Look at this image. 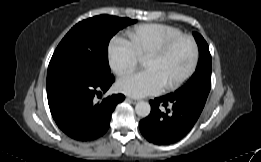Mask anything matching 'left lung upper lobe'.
<instances>
[{"label": "left lung upper lobe", "instance_id": "1", "mask_svg": "<svg viewBox=\"0 0 261 162\" xmlns=\"http://www.w3.org/2000/svg\"><path fill=\"white\" fill-rule=\"evenodd\" d=\"M199 48V61L196 71L182 88L200 87L210 91L211 88V55L204 38L197 32H193Z\"/></svg>", "mask_w": 261, "mask_h": 162}]
</instances>
